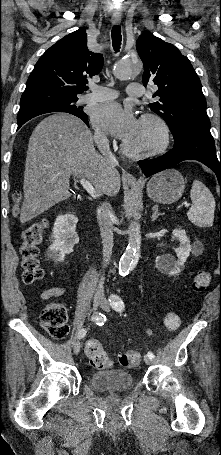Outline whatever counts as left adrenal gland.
<instances>
[{
    "label": "left adrenal gland",
    "mask_w": 221,
    "mask_h": 455,
    "mask_svg": "<svg viewBox=\"0 0 221 455\" xmlns=\"http://www.w3.org/2000/svg\"><path fill=\"white\" fill-rule=\"evenodd\" d=\"M153 214L151 216V221L154 222L162 213L158 212V206L152 207Z\"/></svg>",
    "instance_id": "a2214340"
}]
</instances>
